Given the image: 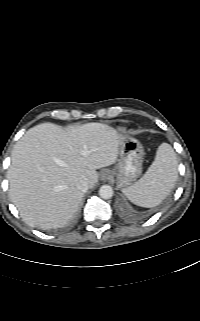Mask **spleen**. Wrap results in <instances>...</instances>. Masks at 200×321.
<instances>
[{
  "instance_id": "spleen-1",
  "label": "spleen",
  "mask_w": 200,
  "mask_h": 321,
  "mask_svg": "<svg viewBox=\"0 0 200 321\" xmlns=\"http://www.w3.org/2000/svg\"><path fill=\"white\" fill-rule=\"evenodd\" d=\"M177 155L171 145L162 143L146 173L134 184L123 188L135 205L151 208L159 205L172 191L178 179Z\"/></svg>"
}]
</instances>
